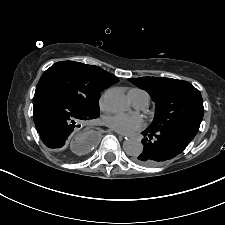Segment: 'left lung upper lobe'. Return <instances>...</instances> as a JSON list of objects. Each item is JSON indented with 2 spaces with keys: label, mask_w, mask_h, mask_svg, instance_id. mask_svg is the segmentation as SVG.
I'll return each mask as SVG.
<instances>
[{
  "label": "left lung upper lobe",
  "mask_w": 225,
  "mask_h": 225,
  "mask_svg": "<svg viewBox=\"0 0 225 225\" xmlns=\"http://www.w3.org/2000/svg\"><path fill=\"white\" fill-rule=\"evenodd\" d=\"M129 81L147 91L155 102L154 120L147 129L157 132L185 123H201L204 114L202 96L189 82L162 77Z\"/></svg>",
  "instance_id": "left-lung-upper-lobe-1"
}]
</instances>
